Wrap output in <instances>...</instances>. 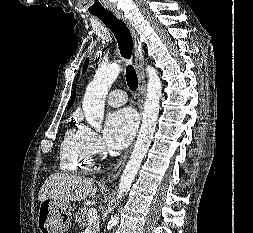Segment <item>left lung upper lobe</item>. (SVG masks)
I'll return each mask as SVG.
<instances>
[{"label":"left lung upper lobe","instance_id":"left-lung-upper-lobe-1","mask_svg":"<svg viewBox=\"0 0 253 233\" xmlns=\"http://www.w3.org/2000/svg\"><path fill=\"white\" fill-rule=\"evenodd\" d=\"M87 64H88V60H86V62L84 63L83 72H85V70H86V67H87Z\"/></svg>","mask_w":253,"mask_h":233}]
</instances>
